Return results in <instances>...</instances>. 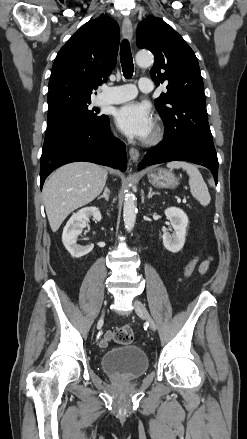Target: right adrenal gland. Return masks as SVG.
I'll list each match as a JSON object with an SVG mask.
<instances>
[{
	"mask_svg": "<svg viewBox=\"0 0 247 439\" xmlns=\"http://www.w3.org/2000/svg\"><path fill=\"white\" fill-rule=\"evenodd\" d=\"M109 196H110V191H109V189L107 187H105L103 195L99 196L97 199L99 200L101 198H104L106 201H108L109 200Z\"/></svg>",
	"mask_w": 247,
	"mask_h": 439,
	"instance_id": "1",
	"label": "right adrenal gland"
}]
</instances>
